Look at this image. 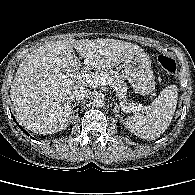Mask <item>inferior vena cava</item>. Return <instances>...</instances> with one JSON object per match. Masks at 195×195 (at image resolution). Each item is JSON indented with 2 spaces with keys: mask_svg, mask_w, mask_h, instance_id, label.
Listing matches in <instances>:
<instances>
[{
  "mask_svg": "<svg viewBox=\"0 0 195 195\" xmlns=\"http://www.w3.org/2000/svg\"><path fill=\"white\" fill-rule=\"evenodd\" d=\"M71 96L73 100L78 102L85 101L90 96V92L85 86L77 85L74 87Z\"/></svg>",
  "mask_w": 195,
  "mask_h": 195,
  "instance_id": "obj_1",
  "label": "inferior vena cava"
}]
</instances>
